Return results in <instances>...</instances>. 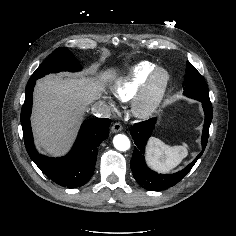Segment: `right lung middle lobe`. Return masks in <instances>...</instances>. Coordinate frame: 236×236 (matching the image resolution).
Here are the masks:
<instances>
[{
  "mask_svg": "<svg viewBox=\"0 0 236 236\" xmlns=\"http://www.w3.org/2000/svg\"><path fill=\"white\" fill-rule=\"evenodd\" d=\"M81 67L76 61L75 57L71 55L67 48H57L52 54L35 70L29 79L36 81L49 73H56L59 71H77Z\"/></svg>",
  "mask_w": 236,
  "mask_h": 236,
  "instance_id": "1",
  "label": "right lung middle lobe"
}]
</instances>
